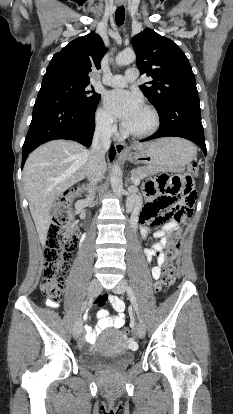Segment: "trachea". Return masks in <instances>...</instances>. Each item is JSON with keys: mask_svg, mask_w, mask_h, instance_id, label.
I'll return each mask as SVG.
<instances>
[{"mask_svg": "<svg viewBox=\"0 0 233 414\" xmlns=\"http://www.w3.org/2000/svg\"><path fill=\"white\" fill-rule=\"evenodd\" d=\"M115 20L117 26H122L125 20V9L124 6H120L117 8L115 12Z\"/></svg>", "mask_w": 233, "mask_h": 414, "instance_id": "3493384b", "label": "trachea"}]
</instances>
